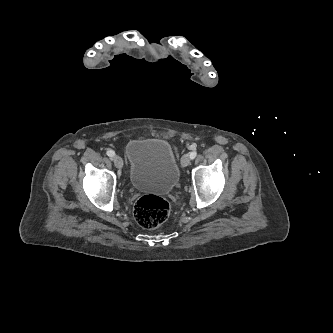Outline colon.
I'll return each instance as SVG.
<instances>
[{"label":"colon","mask_w":333,"mask_h":333,"mask_svg":"<svg viewBox=\"0 0 333 333\" xmlns=\"http://www.w3.org/2000/svg\"><path fill=\"white\" fill-rule=\"evenodd\" d=\"M169 212V203L163 197L148 194L137 201L134 217L143 228L153 229L167 220Z\"/></svg>","instance_id":"1"}]
</instances>
